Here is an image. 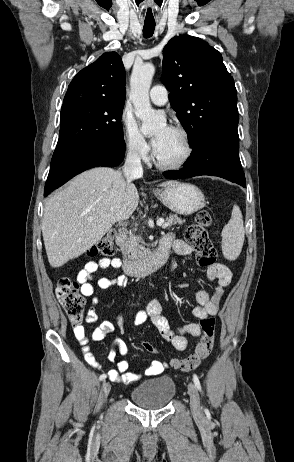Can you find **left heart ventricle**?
Masks as SVG:
<instances>
[{"instance_id": "b2bd125f", "label": "left heart ventricle", "mask_w": 294, "mask_h": 462, "mask_svg": "<svg viewBox=\"0 0 294 462\" xmlns=\"http://www.w3.org/2000/svg\"><path fill=\"white\" fill-rule=\"evenodd\" d=\"M165 129L166 127L161 126L155 130L154 134L158 135ZM184 153L185 143L182 136L171 128L166 130L156 150L158 158L163 162H174L179 160Z\"/></svg>"}]
</instances>
